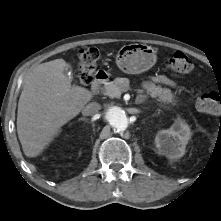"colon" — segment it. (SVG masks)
Wrapping results in <instances>:
<instances>
[{
  "label": "colon",
  "mask_w": 221,
  "mask_h": 221,
  "mask_svg": "<svg viewBox=\"0 0 221 221\" xmlns=\"http://www.w3.org/2000/svg\"><path fill=\"white\" fill-rule=\"evenodd\" d=\"M79 59L78 79L82 83L92 81L98 66L100 52L96 48H83L77 52ZM168 70L179 74H188L193 70L190 58L182 53L175 52L165 62ZM197 108L204 113H217L221 108V94L216 92H202L196 98Z\"/></svg>",
  "instance_id": "1"
}]
</instances>
